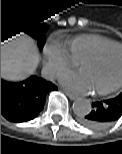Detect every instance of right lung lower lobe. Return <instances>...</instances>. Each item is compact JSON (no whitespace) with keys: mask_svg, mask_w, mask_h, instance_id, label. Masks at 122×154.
<instances>
[{"mask_svg":"<svg viewBox=\"0 0 122 154\" xmlns=\"http://www.w3.org/2000/svg\"><path fill=\"white\" fill-rule=\"evenodd\" d=\"M57 87L49 81L31 76L18 83L1 80V114L11 122L34 119L42 111L46 94Z\"/></svg>","mask_w":122,"mask_h":154,"instance_id":"right-lung-lower-lobe-1","label":"right lung lower lobe"}]
</instances>
